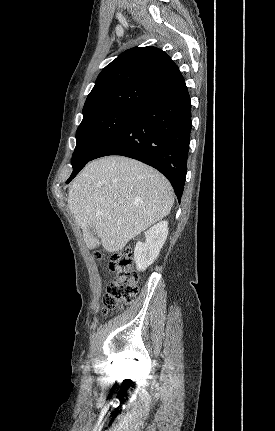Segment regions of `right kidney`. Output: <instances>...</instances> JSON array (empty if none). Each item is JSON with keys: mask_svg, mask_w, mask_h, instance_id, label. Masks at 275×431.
I'll use <instances>...</instances> for the list:
<instances>
[{"mask_svg": "<svg viewBox=\"0 0 275 431\" xmlns=\"http://www.w3.org/2000/svg\"><path fill=\"white\" fill-rule=\"evenodd\" d=\"M145 242L138 241L134 250V261L138 271H144L158 257L168 235V222L161 221L145 233Z\"/></svg>", "mask_w": 275, "mask_h": 431, "instance_id": "ca27d5eb", "label": "right kidney"}]
</instances>
